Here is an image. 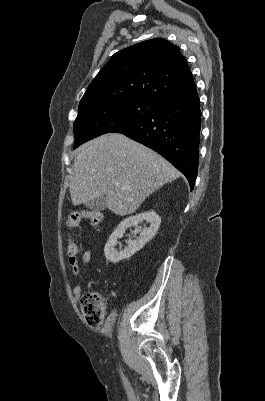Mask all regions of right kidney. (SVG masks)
Returning a JSON list of instances; mask_svg holds the SVG:
<instances>
[{
	"mask_svg": "<svg viewBox=\"0 0 265 401\" xmlns=\"http://www.w3.org/2000/svg\"><path fill=\"white\" fill-rule=\"evenodd\" d=\"M143 221H147L150 223L149 229H139V223H143ZM161 219L155 211H146V213H140V215H135V217H128V219H124L121 221L120 225L116 227L114 233L110 235L104 249L105 257L109 263H119V261H123V259H130L136 251H140L142 247H144L145 243L151 241L152 237L156 235L159 227H160ZM129 227H136L135 231H133L134 235L140 233V237L135 239V241H128V247L124 249V251H117L114 249L115 245H117V239H122L126 229Z\"/></svg>",
	"mask_w": 265,
	"mask_h": 401,
	"instance_id": "ca27d5eb",
	"label": "right kidney"
}]
</instances>
